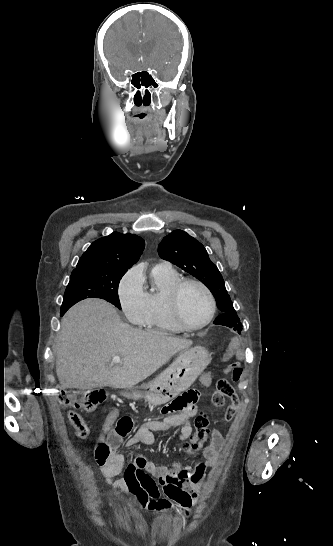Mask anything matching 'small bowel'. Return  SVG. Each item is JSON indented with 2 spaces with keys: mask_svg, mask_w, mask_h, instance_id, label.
<instances>
[{
  "mask_svg": "<svg viewBox=\"0 0 333 546\" xmlns=\"http://www.w3.org/2000/svg\"><path fill=\"white\" fill-rule=\"evenodd\" d=\"M235 353L234 347H227L225 354L220 358L221 363L224 365L229 364L235 358ZM201 374L199 377L203 380L201 384L206 387L213 373L208 368L206 371H202ZM236 408L235 403L228 404L224 410L226 416L222 419L229 422L231 417L236 415ZM164 412H172V414L163 420L148 419L142 422L134 434L126 441V446H133L139 442L151 445L155 443L153 431H166L175 427H181L180 439L187 440L193 431L189 420L194 415L195 408L191 406L172 408L168 405ZM118 417L119 410L113 409L109 413L98 439L113 441L110 455L103 460L96 459V464L99 466L106 482L112 487L116 495L133 493L137 502L145 509L157 512L176 509L179 514L188 516L190 508L199 500L206 478V470L216 466L220 460L224 447L222 434L215 429L211 431L210 442L204 449L203 457L193 468L184 467L180 463L171 466L157 465L143 456L126 465L124 456L118 452V448L123 438L132 430V421L128 417L120 419V421L130 426V430L126 435H119L113 428ZM77 436L81 440H85L88 433ZM120 474H123V477L115 479ZM161 495H164L167 499H161ZM171 501L176 505H173ZM99 507L101 508L100 503ZM101 514L104 515V511Z\"/></svg>",
  "mask_w": 333,
  "mask_h": 546,
  "instance_id": "small-bowel-1",
  "label": "small bowel"
}]
</instances>
